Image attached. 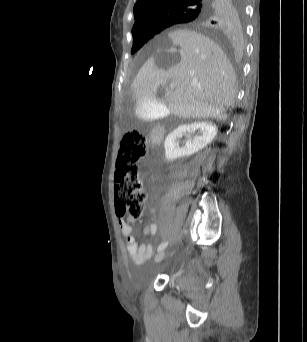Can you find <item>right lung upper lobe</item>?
<instances>
[{
  "label": "right lung upper lobe",
  "instance_id": "obj_1",
  "mask_svg": "<svg viewBox=\"0 0 307 342\" xmlns=\"http://www.w3.org/2000/svg\"><path fill=\"white\" fill-rule=\"evenodd\" d=\"M234 0H137L132 34L163 30L179 23H190L198 31L216 39H226L231 31ZM193 11L189 19L175 22L173 16Z\"/></svg>",
  "mask_w": 307,
  "mask_h": 342
}]
</instances>
